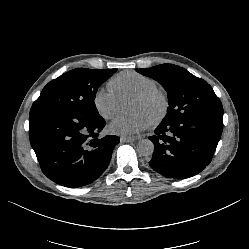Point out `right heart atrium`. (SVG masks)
<instances>
[{"label": "right heart atrium", "mask_w": 249, "mask_h": 249, "mask_svg": "<svg viewBox=\"0 0 249 249\" xmlns=\"http://www.w3.org/2000/svg\"><path fill=\"white\" fill-rule=\"evenodd\" d=\"M92 103L98 115L107 120L117 112L119 97L110 88L100 86L94 91Z\"/></svg>", "instance_id": "right-heart-atrium-1"}]
</instances>
